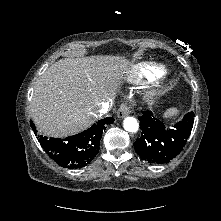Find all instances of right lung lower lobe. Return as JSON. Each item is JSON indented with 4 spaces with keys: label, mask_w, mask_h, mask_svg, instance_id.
<instances>
[{
    "label": "right lung lower lobe",
    "mask_w": 221,
    "mask_h": 221,
    "mask_svg": "<svg viewBox=\"0 0 221 221\" xmlns=\"http://www.w3.org/2000/svg\"><path fill=\"white\" fill-rule=\"evenodd\" d=\"M114 122V118L107 117L99 120L97 124L64 140L47 138L38 135L41 147L60 166L77 169L88 165L99 151V143L106 125ZM30 125L37 135V130L32 121Z\"/></svg>",
    "instance_id": "1"
}]
</instances>
